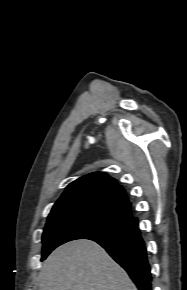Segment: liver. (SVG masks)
<instances>
[{
    "label": "liver",
    "mask_w": 187,
    "mask_h": 290,
    "mask_svg": "<svg viewBox=\"0 0 187 290\" xmlns=\"http://www.w3.org/2000/svg\"><path fill=\"white\" fill-rule=\"evenodd\" d=\"M39 290H137L128 274L91 240L56 248L40 271Z\"/></svg>",
    "instance_id": "1"
}]
</instances>
